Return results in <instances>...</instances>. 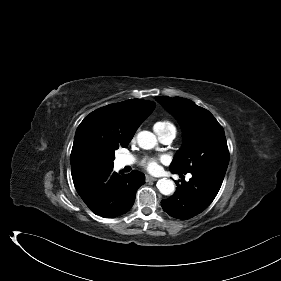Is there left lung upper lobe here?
<instances>
[{
	"mask_svg": "<svg viewBox=\"0 0 281 281\" xmlns=\"http://www.w3.org/2000/svg\"><path fill=\"white\" fill-rule=\"evenodd\" d=\"M179 121L184 135L182 148L170 165L171 170L200 173L226 172L229 151L222 126L206 109L181 97H155Z\"/></svg>",
	"mask_w": 281,
	"mask_h": 281,
	"instance_id": "obj_1",
	"label": "left lung upper lobe"
}]
</instances>
